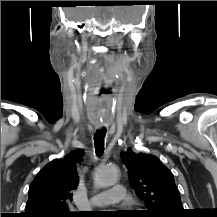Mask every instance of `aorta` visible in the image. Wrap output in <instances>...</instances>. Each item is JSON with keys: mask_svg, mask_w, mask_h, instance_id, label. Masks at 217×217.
I'll return each mask as SVG.
<instances>
[{"mask_svg": "<svg viewBox=\"0 0 217 217\" xmlns=\"http://www.w3.org/2000/svg\"><path fill=\"white\" fill-rule=\"evenodd\" d=\"M118 173L114 165H105L99 167L94 176V186L96 188H105L114 185L117 182Z\"/></svg>", "mask_w": 217, "mask_h": 217, "instance_id": "762f6f07", "label": "aorta"}]
</instances>
